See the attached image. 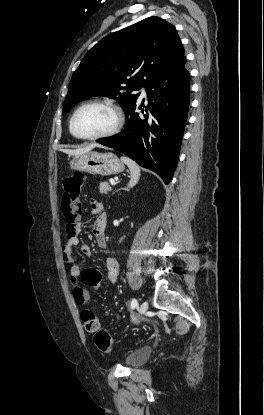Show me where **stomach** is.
I'll return each instance as SVG.
<instances>
[{
	"label": "stomach",
	"mask_w": 264,
	"mask_h": 415,
	"mask_svg": "<svg viewBox=\"0 0 264 415\" xmlns=\"http://www.w3.org/2000/svg\"><path fill=\"white\" fill-rule=\"evenodd\" d=\"M70 167L73 170L101 176L118 174L125 169L124 164L115 154L95 151L74 155L70 161Z\"/></svg>",
	"instance_id": "obj_1"
}]
</instances>
